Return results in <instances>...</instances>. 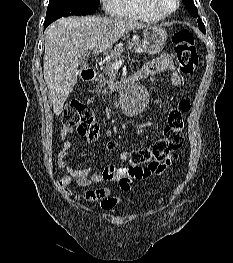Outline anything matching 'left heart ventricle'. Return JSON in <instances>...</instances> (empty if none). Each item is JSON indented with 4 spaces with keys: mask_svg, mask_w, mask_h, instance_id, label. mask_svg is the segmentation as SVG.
I'll return each instance as SVG.
<instances>
[{
    "mask_svg": "<svg viewBox=\"0 0 233 263\" xmlns=\"http://www.w3.org/2000/svg\"><path fill=\"white\" fill-rule=\"evenodd\" d=\"M160 4L165 10H171L174 7L173 0H160Z\"/></svg>",
    "mask_w": 233,
    "mask_h": 263,
    "instance_id": "b2bd125f",
    "label": "left heart ventricle"
}]
</instances>
